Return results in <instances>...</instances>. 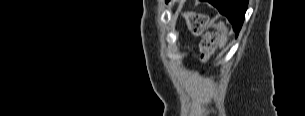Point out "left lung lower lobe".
I'll return each mask as SVG.
<instances>
[{
  "mask_svg": "<svg viewBox=\"0 0 305 116\" xmlns=\"http://www.w3.org/2000/svg\"><path fill=\"white\" fill-rule=\"evenodd\" d=\"M208 2L215 6L221 14L225 15L228 18L237 36L245 18V12L247 10L248 1L208 0Z\"/></svg>",
  "mask_w": 305,
  "mask_h": 116,
  "instance_id": "0a47b994",
  "label": "left lung lower lobe"
}]
</instances>
